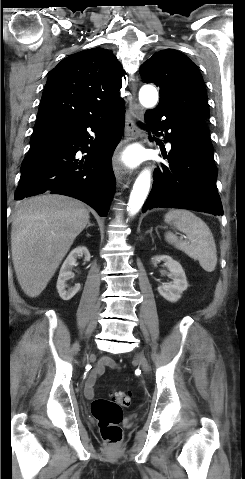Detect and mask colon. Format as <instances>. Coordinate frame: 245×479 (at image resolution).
Wrapping results in <instances>:
<instances>
[{"mask_svg": "<svg viewBox=\"0 0 245 479\" xmlns=\"http://www.w3.org/2000/svg\"><path fill=\"white\" fill-rule=\"evenodd\" d=\"M131 403V393L114 390L112 397L97 398L92 402L91 410L97 421L104 441L110 445H117L122 439L121 422L123 420V407Z\"/></svg>", "mask_w": 245, "mask_h": 479, "instance_id": "colon-1", "label": "colon"}]
</instances>
